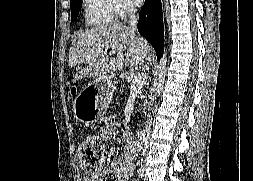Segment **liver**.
Segmentation results:
<instances>
[{"instance_id": "liver-1", "label": "liver", "mask_w": 253, "mask_h": 181, "mask_svg": "<svg viewBox=\"0 0 253 181\" xmlns=\"http://www.w3.org/2000/svg\"><path fill=\"white\" fill-rule=\"evenodd\" d=\"M152 53L149 43L136 37L133 28L121 23L94 26L77 34L70 47L69 68L84 65L73 75L72 82L113 75L124 64L140 75L148 69Z\"/></svg>"}]
</instances>
